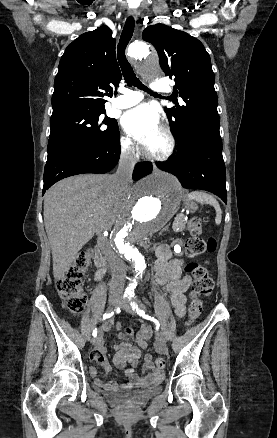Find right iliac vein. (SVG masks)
Instances as JSON below:
<instances>
[{
  "instance_id": "1",
  "label": "right iliac vein",
  "mask_w": 277,
  "mask_h": 438,
  "mask_svg": "<svg viewBox=\"0 0 277 438\" xmlns=\"http://www.w3.org/2000/svg\"><path fill=\"white\" fill-rule=\"evenodd\" d=\"M118 302H119V297L118 296L111 295L109 297V305L110 306H112V307L116 306L118 304ZM91 342H92L93 345H97L100 342V336L94 337Z\"/></svg>"
}]
</instances>
